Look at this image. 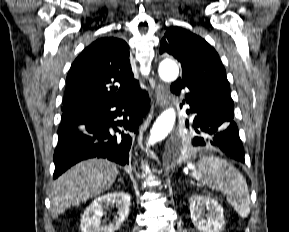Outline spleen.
<instances>
[{"label":"spleen","instance_id":"spleen-1","mask_svg":"<svg viewBox=\"0 0 289 232\" xmlns=\"http://www.w3.org/2000/svg\"><path fill=\"white\" fill-rule=\"evenodd\" d=\"M192 176L213 190L226 195L228 203L238 215L246 218L250 213V197L243 175L232 164L217 157H206L192 167Z\"/></svg>","mask_w":289,"mask_h":232}]
</instances>
